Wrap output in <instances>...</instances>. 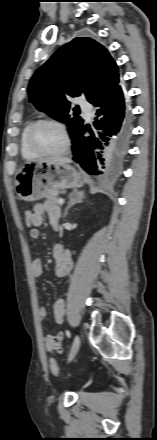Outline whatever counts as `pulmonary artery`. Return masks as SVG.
<instances>
[{"instance_id": "pulmonary-artery-1", "label": "pulmonary artery", "mask_w": 157, "mask_h": 440, "mask_svg": "<svg viewBox=\"0 0 157 440\" xmlns=\"http://www.w3.org/2000/svg\"><path fill=\"white\" fill-rule=\"evenodd\" d=\"M79 104L82 110L85 112L86 117L90 118L92 115V106L83 98L79 99Z\"/></svg>"}]
</instances>
